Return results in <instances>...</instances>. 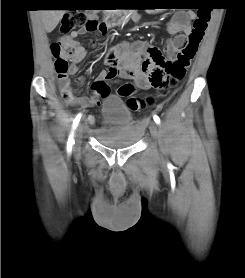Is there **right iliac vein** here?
<instances>
[{
    "label": "right iliac vein",
    "mask_w": 245,
    "mask_h": 278,
    "mask_svg": "<svg viewBox=\"0 0 245 278\" xmlns=\"http://www.w3.org/2000/svg\"><path fill=\"white\" fill-rule=\"evenodd\" d=\"M83 131H84L83 126L81 124H79L77 126V129L75 131V136H74L75 144H74L73 150L75 152H78L81 148V141H82Z\"/></svg>",
    "instance_id": "right-iliac-vein-1"
}]
</instances>
